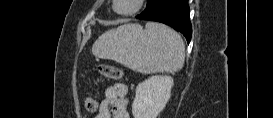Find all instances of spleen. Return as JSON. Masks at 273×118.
<instances>
[{
  "label": "spleen",
  "mask_w": 273,
  "mask_h": 118,
  "mask_svg": "<svg viewBox=\"0 0 273 118\" xmlns=\"http://www.w3.org/2000/svg\"><path fill=\"white\" fill-rule=\"evenodd\" d=\"M95 56L114 60L134 71L174 73L183 67L181 36L162 24H124L102 34L92 47Z\"/></svg>",
  "instance_id": "3e777b00"
}]
</instances>
